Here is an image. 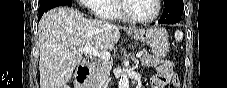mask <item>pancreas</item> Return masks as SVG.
<instances>
[{
	"instance_id": "cf45deb5",
	"label": "pancreas",
	"mask_w": 227,
	"mask_h": 88,
	"mask_svg": "<svg viewBox=\"0 0 227 88\" xmlns=\"http://www.w3.org/2000/svg\"><path fill=\"white\" fill-rule=\"evenodd\" d=\"M142 56L140 57L141 64L144 66H156L161 63L167 64L169 66H172V63L169 61L163 60L162 58L155 57L153 55H149L146 50L141 51ZM110 63L107 61H104L100 66L96 67L91 74L88 84L91 87H95L98 85L99 87L104 85L105 81L108 80L109 74H110Z\"/></svg>"
}]
</instances>
